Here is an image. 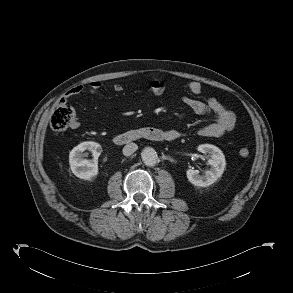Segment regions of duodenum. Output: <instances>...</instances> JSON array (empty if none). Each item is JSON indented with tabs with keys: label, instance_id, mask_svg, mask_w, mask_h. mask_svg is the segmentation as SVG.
Segmentation results:
<instances>
[{
	"label": "duodenum",
	"instance_id": "410a0bca",
	"mask_svg": "<svg viewBox=\"0 0 293 293\" xmlns=\"http://www.w3.org/2000/svg\"><path fill=\"white\" fill-rule=\"evenodd\" d=\"M148 139L151 141H171L175 137L161 129L155 127H144L136 130H131L123 133H119L113 138V142L117 145L129 144L138 139Z\"/></svg>",
	"mask_w": 293,
	"mask_h": 293
}]
</instances>
